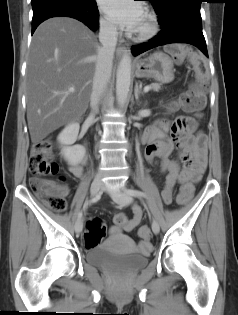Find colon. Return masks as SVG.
<instances>
[{
  "label": "colon",
  "mask_w": 238,
  "mask_h": 315,
  "mask_svg": "<svg viewBox=\"0 0 238 315\" xmlns=\"http://www.w3.org/2000/svg\"><path fill=\"white\" fill-rule=\"evenodd\" d=\"M167 51L176 62H183L188 59L194 67L197 85L180 95L174 106H180L190 111H199L205 107L206 98L204 88L208 76V66L206 61L200 55L193 53L186 46L171 44L167 46ZM55 146L50 137H46L37 142L30 154V188L42 199L52 210L62 212L66 209L67 203L61 193L63 185L42 176L56 174L58 166L54 161ZM193 195V186L187 185L180 189L176 198L179 205L186 204ZM115 224L124 227L128 219L123 214H117L114 218ZM105 224L102 220L94 218L87 223L85 233L86 247H94L102 240L105 234ZM139 235L143 239L150 238V229L148 226H142Z\"/></svg>",
  "instance_id": "colon-1"
}]
</instances>
